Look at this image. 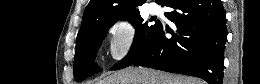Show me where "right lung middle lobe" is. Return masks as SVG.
<instances>
[{
	"label": "right lung middle lobe",
	"instance_id": "obj_1",
	"mask_svg": "<svg viewBox=\"0 0 260 84\" xmlns=\"http://www.w3.org/2000/svg\"><path fill=\"white\" fill-rule=\"evenodd\" d=\"M121 19L129 20L135 27L136 33L128 55L113 68L114 70L128 67L142 56L151 46L160 25L158 22L151 26L148 25V22L143 21L139 11L126 15ZM117 21L104 20L95 22L77 39L73 69L77 81H82L99 71L94 62L97 50L106 32Z\"/></svg>",
	"mask_w": 260,
	"mask_h": 84
}]
</instances>
